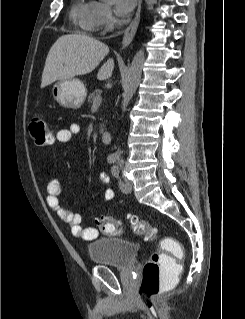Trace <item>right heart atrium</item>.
<instances>
[{
  "instance_id": "1",
  "label": "right heart atrium",
  "mask_w": 245,
  "mask_h": 319,
  "mask_svg": "<svg viewBox=\"0 0 245 319\" xmlns=\"http://www.w3.org/2000/svg\"><path fill=\"white\" fill-rule=\"evenodd\" d=\"M113 27L112 10L106 5H100L97 28L109 31Z\"/></svg>"
}]
</instances>
